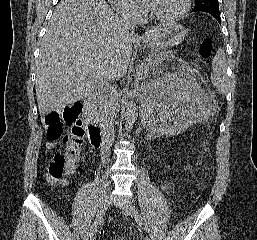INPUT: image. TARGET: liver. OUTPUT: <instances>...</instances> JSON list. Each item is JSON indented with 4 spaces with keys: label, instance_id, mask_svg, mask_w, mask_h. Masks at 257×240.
Instances as JSON below:
<instances>
[{
    "label": "liver",
    "instance_id": "1",
    "mask_svg": "<svg viewBox=\"0 0 257 240\" xmlns=\"http://www.w3.org/2000/svg\"><path fill=\"white\" fill-rule=\"evenodd\" d=\"M121 25L104 0H62L56 6L36 69L41 116L62 111L95 86L118 81L127 71L132 44L150 41L161 26L138 37Z\"/></svg>",
    "mask_w": 257,
    "mask_h": 240
}]
</instances>
